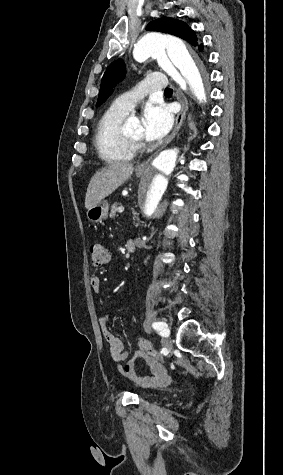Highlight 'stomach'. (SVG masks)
I'll return each mask as SVG.
<instances>
[{"mask_svg":"<svg viewBox=\"0 0 283 475\" xmlns=\"http://www.w3.org/2000/svg\"><path fill=\"white\" fill-rule=\"evenodd\" d=\"M148 172H150L149 168L148 170H145V172H138V170H135L137 178H140V176H146ZM108 210L109 204L106 200H103V202H99V204H96L93 208H89L87 218L89 222H92V224H98V222H102V220L108 218Z\"/></svg>","mask_w":283,"mask_h":475,"instance_id":"0dacf381","label":"stomach"}]
</instances>
